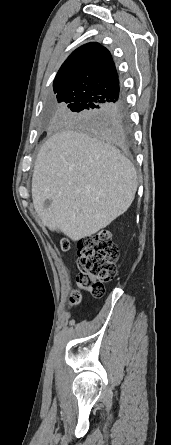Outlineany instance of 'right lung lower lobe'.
I'll return each instance as SVG.
<instances>
[{
	"instance_id": "right-lung-lower-lobe-1",
	"label": "right lung lower lobe",
	"mask_w": 171,
	"mask_h": 445,
	"mask_svg": "<svg viewBox=\"0 0 171 445\" xmlns=\"http://www.w3.org/2000/svg\"><path fill=\"white\" fill-rule=\"evenodd\" d=\"M108 105L103 109L99 115V127L103 136L112 142L121 146L127 145L124 111L125 106L123 99H111L107 102Z\"/></svg>"
}]
</instances>
